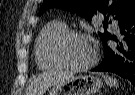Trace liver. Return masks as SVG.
Returning <instances> with one entry per match:
<instances>
[{
    "label": "liver",
    "instance_id": "1",
    "mask_svg": "<svg viewBox=\"0 0 135 95\" xmlns=\"http://www.w3.org/2000/svg\"><path fill=\"white\" fill-rule=\"evenodd\" d=\"M73 76L72 72L50 71L40 74L26 90V95H43L51 86H55Z\"/></svg>",
    "mask_w": 135,
    "mask_h": 95
}]
</instances>
